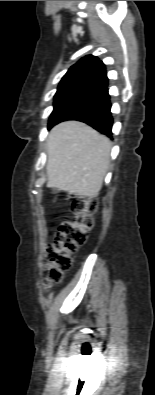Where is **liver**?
I'll use <instances>...</instances> for the list:
<instances>
[{
  "instance_id": "liver-1",
  "label": "liver",
  "mask_w": 155,
  "mask_h": 395,
  "mask_svg": "<svg viewBox=\"0 0 155 395\" xmlns=\"http://www.w3.org/2000/svg\"><path fill=\"white\" fill-rule=\"evenodd\" d=\"M110 140L90 126L65 121L47 139V186L69 194L94 197L110 165Z\"/></svg>"
}]
</instances>
